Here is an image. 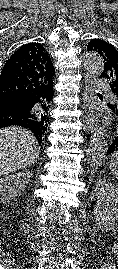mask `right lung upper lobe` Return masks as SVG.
I'll return each instance as SVG.
<instances>
[{"label":"right lung upper lobe","instance_id":"obj_1","mask_svg":"<svg viewBox=\"0 0 118 269\" xmlns=\"http://www.w3.org/2000/svg\"><path fill=\"white\" fill-rule=\"evenodd\" d=\"M54 75L50 56L39 43H28L15 51L0 75V95H32L36 98L37 111L32 132L38 140L47 131Z\"/></svg>","mask_w":118,"mask_h":269}]
</instances>
